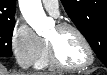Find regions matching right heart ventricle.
I'll use <instances>...</instances> for the list:
<instances>
[{
  "instance_id": "e07e8e85",
  "label": "right heart ventricle",
  "mask_w": 107,
  "mask_h": 75,
  "mask_svg": "<svg viewBox=\"0 0 107 75\" xmlns=\"http://www.w3.org/2000/svg\"><path fill=\"white\" fill-rule=\"evenodd\" d=\"M35 68L39 70L48 69L51 67L49 58H48V48L46 41L43 40L42 51L34 64Z\"/></svg>"
}]
</instances>
